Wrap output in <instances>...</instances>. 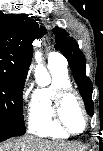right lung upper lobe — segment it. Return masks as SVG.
Wrapping results in <instances>:
<instances>
[{
    "instance_id": "1",
    "label": "right lung upper lobe",
    "mask_w": 103,
    "mask_h": 151,
    "mask_svg": "<svg viewBox=\"0 0 103 151\" xmlns=\"http://www.w3.org/2000/svg\"><path fill=\"white\" fill-rule=\"evenodd\" d=\"M46 33L26 14L0 13V71L26 77L32 58V42Z\"/></svg>"
}]
</instances>
